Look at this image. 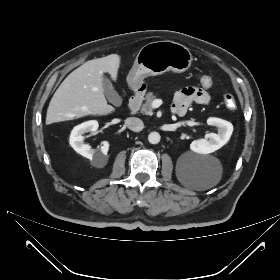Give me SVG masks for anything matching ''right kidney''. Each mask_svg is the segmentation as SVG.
I'll return each instance as SVG.
<instances>
[{
    "mask_svg": "<svg viewBox=\"0 0 280 280\" xmlns=\"http://www.w3.org/2000/svg\"><path fill=\"white\" fill-rule=\"evenodd\" d=\"M98 122L96 120H90L77 125L73 128L69 143L71 147L82 156L94 161L96 166L105 165L107 161V153L109 150V142L102 141V146L100 149H91L88 144H84L83 134L87 132H94L98 129Z\"/></svg>",
    "mask_w": 280,
    "mask_h": 280,
    "instance_id": "ca27d5eb",
    "label": "right kidney"
}]
</instances>
